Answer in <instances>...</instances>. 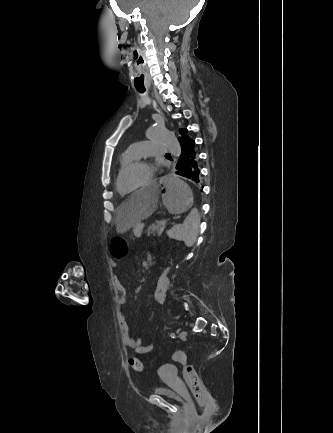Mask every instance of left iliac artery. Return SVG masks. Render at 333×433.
<instances>
[{
    "label": "left iliac artery",
    "instance_id": "44dca946",
    "mask_svg": "<svg viewBox=\"0 0 333 433\" xmlns=\"http://www.w3.org/2000/svg\"><path fill=\"white\" fill-rule=\"evenodd\" d=\"M170 336H171L172 338H175V333H171Z\"/></svg>",
    "mask_w": 333,
    "mask_h": 433
}]
</instances>
